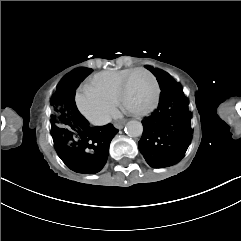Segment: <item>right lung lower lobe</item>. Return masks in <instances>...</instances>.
<instances>
[{"mask_svg": "<svg viewBox=\"0 0 241 241\" xmlns=\"http://www.w3.org/2000/svg\"><path fill=\"white\" fill-rule=\"evenodd\" d=\"M91 72L87 68L80 69L66 77L70 96L65 98V104L74 127L70 137H54V147L68 168L83 174L99 172L106 164L109 145L118 133L112 124L101 127H91L89 122L78 111L74 97L79 83Z\"/></svg>", "mask_w": 241, "mask_h": 241, "instance_id": "right-lung-lower-lobe-1", "label": "right lung lower lobe"}]
</instances>
